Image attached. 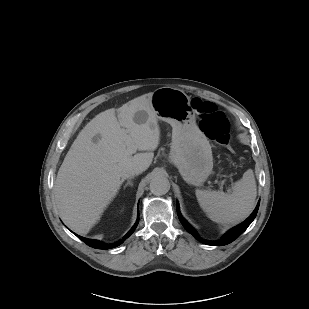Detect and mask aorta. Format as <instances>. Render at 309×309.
Returning <instances> with one entry per match:
<instances>
[{
	"instance_id": "aorta-1",
	"label": "aorta",
	"mask_w": 309,
	"mask_h": 309,
	"mask_svg": "<svg viewBox=\"0 0 309 309\" xmlns=\"http://www.w3.org/2000/svg\"><path fill=\"white\" fill-rule=\"evenodd\" d=\"M150 191L154 195L160 196L166 194L170 189V183L167 178L157 175L150 181Z\"/></svg>"
}]
</instances>
